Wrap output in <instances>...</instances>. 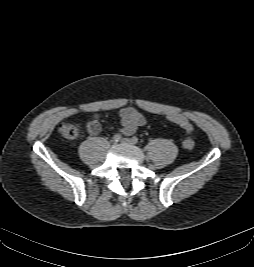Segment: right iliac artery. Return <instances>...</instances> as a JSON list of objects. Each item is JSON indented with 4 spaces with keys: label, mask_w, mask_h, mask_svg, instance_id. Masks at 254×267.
Here are the masks:
<instances>
[{
    "label": "right iliac artery",
    "mask_w": 254,
    "mask_h": 267,
    "mask_svg": "<svg viewBox=\"0 0 254 267\" xmlns=\"http://www.w3.org/2000/svg\"><path fill=\"white\" fill-rule=\"evenodd\" d=\"M121 138H122V135L119 134V133H117V134H115V135L113 136L112 139H113L114 142H118V141L121 140Z\"/></svg>",
    "instance_id": "obj_1"
}]
</instances>
